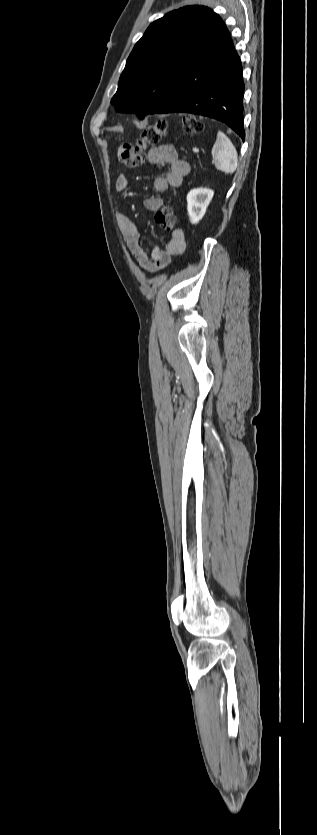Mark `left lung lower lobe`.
I'll return each instance as SVG.
<instances>
[{"instance_id": "left-lung-lower-lobe-1", "label": "left lung lower lobe", "mask_w": 317, "mask_h": 835, "mask_svg": "<svg viewBox=\"0 0 317 835\" xmlns=\"http://www.w3.org/2000/svg\"><path fill=\"white\" fill-rule=\"evenodd\" d=\"M243 91L241 61L221 21L207 45L186 68L174 96L154 113L207 116L227 124L244 141Z\"/></svg>"}]
</instances>
